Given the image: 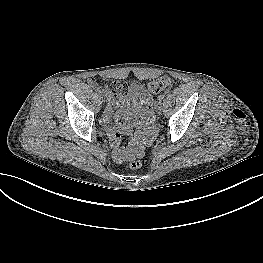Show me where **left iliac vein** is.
<instances>
[{"label": "left iliac vein", "instance_id": "left-iliac-vein-1", "mask_svg": "<svg viewBox=\"0 0 263 263\" xmlns=\"http://www.w3.org/2000/svg\"><path fill=\"white\" fill-rule=\"evenodd\" d=\"M156 101H157L158 103H161V102L163 101V98H162L161 96H158V97L156 98Z\"/></svg>", "mask_w": 263, "mask_h": 263}]
</instances>
